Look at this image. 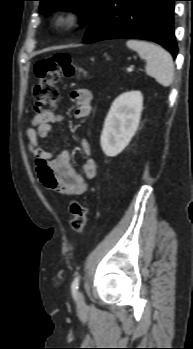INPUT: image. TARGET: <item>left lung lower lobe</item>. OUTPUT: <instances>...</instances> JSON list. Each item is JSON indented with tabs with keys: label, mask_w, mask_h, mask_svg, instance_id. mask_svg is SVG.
<instances>
[{
	"label": "left lung lower lobe",
	"mask_w": 193,
	"mask_h": 349,
	"mask_svg": "<svg viewBox=\"0 0 193 349\" xmlns=\"http://www.w3.org/2000/svg\"><path fill=\"white\" fill-rule=\"evenodd\" d=\"M174 1L106 0L86 30L84 43L107 39H146L166 48L175 58Z\"/></svg>",
	"instance_id": "obj_1"
}]
</instances>
